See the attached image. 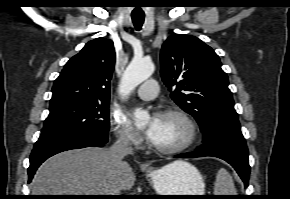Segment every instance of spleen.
Listing matches in <instances>:
<instances>
[{
    "mask_svg": "<svg viewBox=\"0 0 290 199\" xmlns=\"http://www.w3.org/2000/svg\"><path fill=\"white\" fill-rule=\"evenodd\" d=\"M214 195H237L233 179L224 168H221L217 173Z\"/></svg>",
    "mask_w": 290,
    "mask_h": 199,
    "instance_id": "obj_1",
    "label": "spleen"
}]
</instances>
